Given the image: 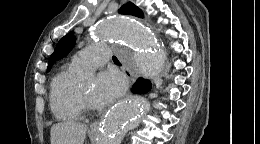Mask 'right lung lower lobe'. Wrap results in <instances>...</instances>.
Listing matches in <instances>:
<instances>
[{"label": "right lung lower lobe", "instance_id": "right-lung-lower-lobe-1", "mask_svg": "<svg viewBox=\"0 0 260 144\" xmlns=\"http://www.w3.org/2000/svg\"><path fill=\"white\" fill-rule=\"evenodd\" d=\"M151 89V82L144 78H138L132 88V92L136 94H143Z\"/></svg>", "mask_w": 260, "mask_h": 144}]
</instances>
